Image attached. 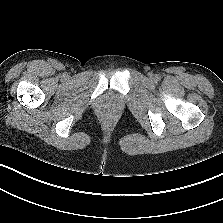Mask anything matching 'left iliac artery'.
Masks as SVG:
<instances>
[{"label": "left iliac artery", "instance_id": "left-iliac-artery-1", "mask_svg": "<svg viewBox=\"0 0 223 223\" xmlns=\"http://www.w3.org/2000/svg\"><path fill=\"white\" fill-rule=\"evenodd\" d=\"M157 79H160L161 77L159 75L156 76Z\"/></svg>", "mask_w": 223, "mask_h": 223}]
</instances>
